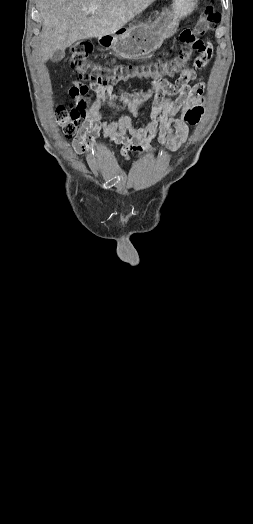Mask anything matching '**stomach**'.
<instances>
[{
    "mask_svg": "<svg viewBox=\"0 0 253 524\" xmlns=\"http://www.w3.org/2000/svg\"><path fill=\"white\" fill-rule=\"evenodd\" d=\"M198 0H173L170 8L162 10L152 23L139 22L130 28H121L110 35L99 37L105 47L128 58L149 55L166 38L176 33L181 20L195 9Z\"/></svg>",
    "mask_w": 253,
    "mask_h": 524,
    "instance_id": "0dacf381",
    "label": "stomach"
}]
</instances>
